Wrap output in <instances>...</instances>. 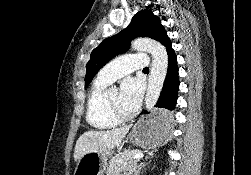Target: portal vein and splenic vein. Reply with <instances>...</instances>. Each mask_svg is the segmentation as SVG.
<instances>
[{"mask_svg": "<svg viewBox=\"0 0 251 175\" xmlns=\"http://www.w3.org/2000/svg\"><path fill=\"white\" fill-rule=\"evenodd\" d=\"M143 155H144V153H140V151H139V153H135V155H133V159L140 160L141 157H143Z\"/></svg>", "mask_w": 251, "mask_h": 175, "instance_id": "obj_1", "label": "portal vein and splenic vein"}]
</instances>
